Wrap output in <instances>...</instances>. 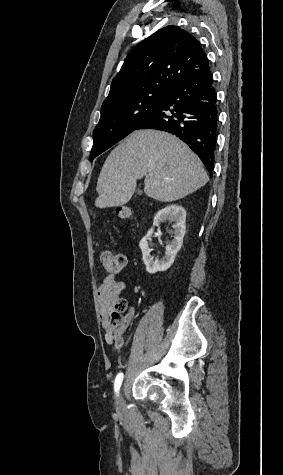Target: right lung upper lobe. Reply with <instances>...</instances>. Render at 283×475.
<instances>
[{
    "instance_id": "obj_1",
    "label": "right lung upper lobe",
    "mask_w": 283,
    "mask_h": 475,
    "mask_svg": "<svg viewBox=\"0 0 283 475\" xmlns=\"http://www.w3.org/2000/svg\"><path fill=\"white\" fill-rule=\"evenodd\" d=\"M210 72L201 44L187 31L170 25L140 42L112 80L103 105L135 96L169 92L177 84Z\"/></svg>"
}]
</instances>
